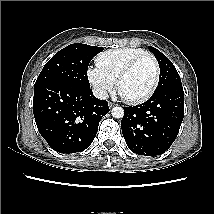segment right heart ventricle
Returning <instances> with one entry per match:
<instances>
[{
	"label": "right heart ventricle",
	"mask_w": 214,
	"mask_h": 214,
	"mask_svg": "<svg viewBox=\"0 0 214 214\" xmlns=\"http://www.w3.org/2000/svg\"><path fill=\"white\" fill-rule=\"evenodd\" d=\"M141 48L124 47L105 51L96 57V66L117 79L121 70L134 58L145 54Z\"/></svg>",
	"instance_id": "e07e8e85"
}]
</instances>
